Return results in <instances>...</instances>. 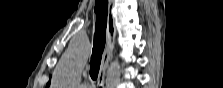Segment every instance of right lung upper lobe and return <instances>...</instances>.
<instances>
[{"instance_id":"obj_1","label":"right lung upper lobe","mask_w":223,"mask_h":88,"mask_svg":"<svg viewBox=\"0 0 223 88\" xmlns=\"http://www.w3.org/2000/svg\"><path fill=\"white\" fill-rule=\"evenodd\" d=\"M49 84H50V83L48 82V83H47V87L49 86Z\"/></svg>"}]
</instances>
